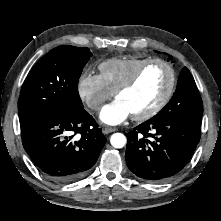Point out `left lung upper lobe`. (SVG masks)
Listing matches in <instances>:
<instances>
[{"mask_svg": "<svg viewBox=\"0 0 221 221\" xmlns=\"http://www.w3.org/2000/svg\"><path fill=\"white\" fill-rule=\"evenodd\" d=\"M176 115L201 126L203 104L196 83L184 67L179 75L177 89L169 103L159 112Z\"/></svg>", "mask_w": 221, "mask_h": 221, "instance_id": "left-lung-upper-lobe-1", "label": "left lung upper lobe"}]
</instances>
